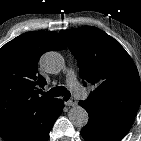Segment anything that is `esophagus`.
<instances>
[{
	"mask_svg": "<svg viewBox=\"0 0 141 141\" xmlns=\"http://www.w3.org/2000/svg\"><path fill=\"white\" fill-rule=\"evenodd\" d=\"M67 106H76L77 105V101H76V99L75 98H71L69 101H67L66 103H65Z\"/></svg>",
	"mask_w": 141,
	"mask_h": 141,
	"instance_id": "34e87169",
	"label": "esophagus"
}]
</instances>
